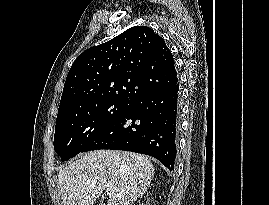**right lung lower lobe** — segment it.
<instances>
[{"instance_id":"98d812e1","label":"right lung lower lobe","mask_w":269,"mask_h":205,"mask_svg":"<svg viewBox=\"0 0 269 205\" xmlns=\"http://www.w3.org/2000/svg\"><path fill=\"white\" fill-rule=\"evenodd\" d=\"M179 84L145 93L101 131L82 152L114 149L146 154L174 170L180 124Z\"/></svg>"}]
</instances>
